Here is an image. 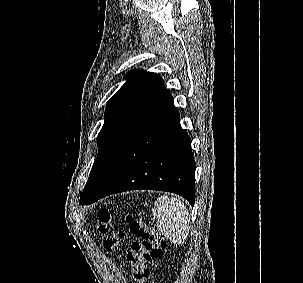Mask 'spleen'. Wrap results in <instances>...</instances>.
<instances>
[{
    "label": "spleen",
    "instance_id": "obj_1",
    "mask_svg": "<svg viewBox=\"0 0 303 283\" xmlns=\"http://www.w3.org/2000/svg\"><path fill=\"white\" fill-rule=\"evenodd\" d=\"M159 232L171 243L181 245L189 234V212L179 198L159 196L152 209Z\"/></svg>",
    "mask_w": 303,
    "mask_h": 283
}]
</instances>
